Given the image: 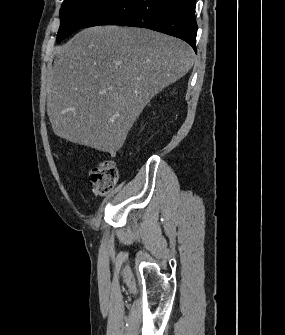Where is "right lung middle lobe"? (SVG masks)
<instances>
[{
    "instance_id": "dd1d6c3e",
    "label": "right lung middle lobe",
    "mask_w": 285,
    "mask_h": 335,
    "mask_svg": "<svg viewBox=\"0 0 285 335\" xmlns=\"http://www.w3.org/2000/svg\"><path fill=\"white\" fill-rule=\"evenodd\" d=\"M115 0H64L60 9L57 43L82 28L90 19L109 7Z\"/></svg>"
}]
</instances>
